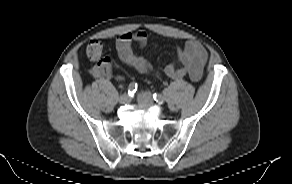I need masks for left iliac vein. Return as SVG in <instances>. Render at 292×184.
Instances as JSON below:
<instances>
[{
    "label": "left iliac vein",
    "mask_w": 292,
    "mask_h": 184,
    "mask_svg": "<svg viewBox=\"0 0 292 184\" xmlns=\"http://www.w3.org/2000/svg\"><path fill=\"white\" fill-rule=\"evenodd\" d=\"M138 102L143 106H153L154 100L153 95L150 92H141L138 95ZM160 116H163L160 114Z\"/></svg>",
    "instance_id": "left-iliac-vein-1"
}]
</instances>
